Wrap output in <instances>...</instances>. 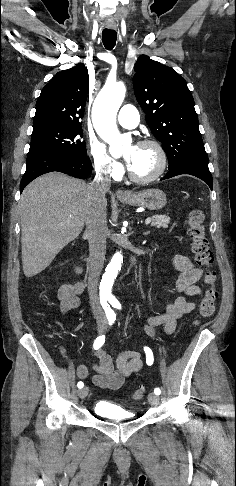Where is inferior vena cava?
<instances>
[{
  "label": "inferior vena cava",
  "mask_w": 236,
  "mask_h": 486,
  "mask_svg": "<svg viewBox=\"0 0 236 486\" xmlns=\"http://www.w3.org/2000/svg\"><path fill=\"white\" fill-rule=\"evenodd\" d=\"M111 178L106 171L96 167V175L89 185L90 203L86 215L85 234L89 240V276L88 293L90 304L95 315H102L99 305L97 286L103 269L106 253V192L110 189Z\"/></svg>",
  "instance_id": "inferior-vena-cava-1"
}]
</instances>
